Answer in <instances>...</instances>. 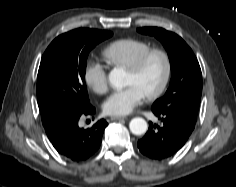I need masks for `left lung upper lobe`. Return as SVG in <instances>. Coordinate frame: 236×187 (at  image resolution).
I'll return each mask as SVG.
<instances>
[{
  "mask_svg": "<svg viewBox=\"0 0 236 187\" xmlns=\"http://www.w3.org/2000/svg\"><path fill=\"white\" fill-rule=\"evenodd\" d=\"M137 31L160 40L171 63L170 86L165 95L154 102L152 109L173 112L196 121L202 94V74L193 51L181 37L165 29L143 27Z\"/></svg>",
  "mask_w": 236,
  "mask_h": 187,
  "instance_id": "left-lung-upper-lobe-1",
  "label": "left lung upper lobe"
}]
</instances>
